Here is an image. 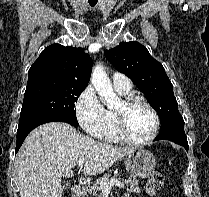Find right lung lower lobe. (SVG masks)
Here are the masks:
<instances>
[{"label": "right lung lower lobe", "instance_id": "obj_1", "mask_svg": "<svg viewBox=\"0 0 209 197\" xmlns=\"http://www.w3.org/2000/svg\"><path fill=\"white\" fill-rule=\"evenodd\" d=\"M53 121H60V122H66L69 123L71 125H75L78 126V124L65 119V118H60V117H47V118H42V119H38L35 121H31L28 122L24 125L18 126V130H17V143H16V149L15 152L17 153V151L19 150V148L21 147L24 139L27 137V135L37 126L44 124V123H48V122H53Z\"/></svg>", "mask_w": 209, "mask_h": 197}]
</instances>
